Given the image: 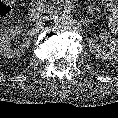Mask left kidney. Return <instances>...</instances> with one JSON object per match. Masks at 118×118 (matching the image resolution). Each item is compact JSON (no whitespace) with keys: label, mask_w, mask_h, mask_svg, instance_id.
<instances>
[{"label":"left kidney","mask_w":118,"mask_h":118,"mask_svg":"<svg viewBox=\"0 0 118 118\" xmlns=\"http://www.w3.org/2000/svg\"><path fill=\"white\" fill-rule=\"evenodd\" d=\"M98 39L104 42V46L97 43ZM90 52L98 59L118 61V40L107 32L100 33L89 40Z\"/></svg>","instance_id":"5707ae66"}]
</instances>
